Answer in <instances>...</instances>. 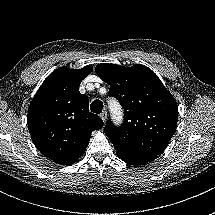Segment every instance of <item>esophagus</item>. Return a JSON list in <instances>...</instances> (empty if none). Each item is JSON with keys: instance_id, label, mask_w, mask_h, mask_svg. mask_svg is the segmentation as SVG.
Instances as JSON below:
<instances>
[{"instance_id": "obj_1", "label": "esophagus", "mask_w": 215, "mask_h": 215, "mask_svg": "<svg viewBox=\"0 0 215 215\" xmlns=\"http://www.w3.org/2000/svg\"><path fill=\"white\" fill-rule=\"evenodd\" d=\"M100 117H101V119L103 120V122L105 123L106 120H107V112H106V111H103V112L100 114Z\"/></svg>"}]
</instances>
